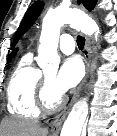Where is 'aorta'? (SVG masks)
Here are the masks:
<instances>
[{
  "mask_svg": "<svg viewBox=\"0 0 117 136\" xmlns=\"http://www.w3.org/2000/svg\"><path fill=\"white\" fill-rule=\"evenodd\" d=\"M66 23L73 25L86 35L94 34L96 40L98 38V25L82 12L65 8H56L49 11L42 22L40 46L38 49L37 63L43 70H57L58 68L60 58L57 54V47L60 28ZM87 113V100H79L73 106L64 122L60 136H81Z\"/></svg>",
  "mask_w": 117,
  "mask_h": 136,
  "instance_id": "1",
  "label": "aorta"
}]
</instances>
